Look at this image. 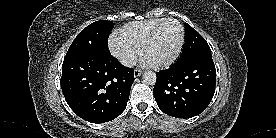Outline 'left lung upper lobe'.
Masks as SVG:
<instances>
[{
	"mask_svg": "<svg viewBox=\"0 0 276 138\" xmlns=\"http://www.w3.org/2000/svg\"><path fill=\"white\" fill-rule=\"evenodd\" d=\"M210 51L206 40L189 24H185V44L177 62H182L198 53Z\"/></svg>",
	"mask_w": 276,
	"mask_h": 138,
	"instance_id": "5c2ea615",
	"label": "left lung upper lobe"
}]
</instances>
